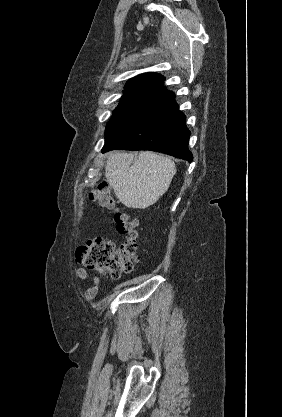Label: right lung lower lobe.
<instances>
[{
	"mask_svg": "<svg viewBox=\"0 0 282 417\" xmlns=\"http://www.w3.org/2000/svg\"><path fill=\"white\" fill-rule=\"evenodd\" d=\"M172 91H165L136 119L106 140L102 152L113 149L152 150L192 161L190 131Z\"/></svg>",
	"mask_w": 282,
	"mask_h": 417,
	"instance_id": "obj_1",
	"label": "right lung lower lobe"
}]
</instances>
